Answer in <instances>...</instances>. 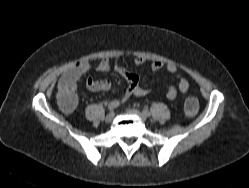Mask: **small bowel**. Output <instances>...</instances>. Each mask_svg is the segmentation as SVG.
<instances>
[{"label":"small bowel","mask_w":249,"mask_h":188,"mask_svg":"<svg viewBox=\"0 0 249 188\" xmlns=\"http://www.w3.org/2000/svg\"><path fill=\"white\" fill-rule=\"evenodd\" d=\"M144 58L140 56H136L133 59L134 64L142 65L144 63ZM114 68L116 72L122 75L128 82V87L125 90L121 101L126 102L131 97H144L149 94V91L142 88L140 86V79L139 76L135 73L128 71L120 58L115 59L111 62L108 59H103L99 62L96 69L99 72H107L111 68ZM152 71H159L161 69L166 70L167 72L175 75L178 80V86L175 87L174 85H169L167 87L166 96L170 101H174L177 97V90L181 93H186L189 89V83L185 77L179 72L177 66L173 63H164L162 61H153L150 66ZM90 69V64L86 61H81L76 63L74 66L67 69L58 82V90L60 92H71L76 98V105H77V97L75 95L76 90L81 84V79L84 74H86ZM85 86L96 92L100 91H108L111 88V82L107 79L95 80L92 78H88L85 81ZM62 107V106H61ZM76 107V106H75ZM65 112L67 111L62 107Z\"/></svg>","instance_id":"c3829d8e"}]
</instances>
